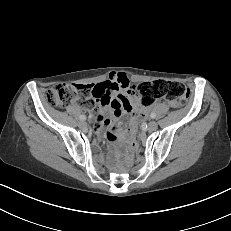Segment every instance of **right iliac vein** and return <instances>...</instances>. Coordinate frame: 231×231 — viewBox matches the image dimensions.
I'll list each match as a JSON object with an SVG mask.
<instances>
[{
  "label": "right iliac vein",
  "mask_w": 231,
  "mask_h": 231,
  "mask_svg": "<svg viewBox=\"0 0 231 231\" xmlns=\"http://www.w3.org/2000/svg\"><path fill=\"white\" fill-rule=\"evenodd\" d=\"M78 126L81 128V129H84L87 127V123L85 121H80Z\"/></svg>",
  "instance_id": "right-iliac-vein-1"
}]
</instances>
